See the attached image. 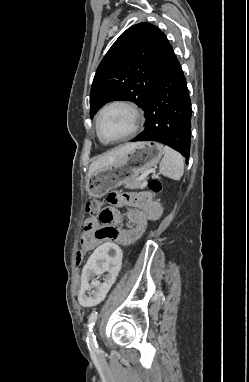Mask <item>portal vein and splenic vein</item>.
<instances>
[{
  "instance_id": "18ae733b",
  "label": "portal vein and splenic vein",
  "mask_w": 249,
  "mask_h": 382,
  "mask_svg": "<svg viewBox=\"0 0 249 382\" xmlns=\"http://www.w3.org/2000/svg\"><path fill=\"white\" fill-rule=\"evenodd\" d=\"M150 173H153V175L155 176V170H148L146 172H144L139 178V180H143L145 179Z\"/></svg>"
}]
</instances>
